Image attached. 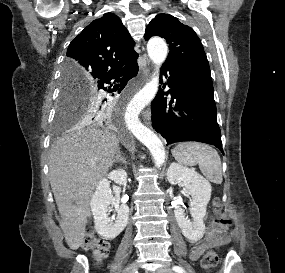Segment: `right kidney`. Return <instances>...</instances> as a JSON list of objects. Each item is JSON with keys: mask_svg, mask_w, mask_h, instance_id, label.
<instances>
[{"mask_svg": "<svg viewBox=\"0 0 285 273\" xmlns=\"http://www.w3.org/2000/svg\"><path fill=\"white\" fill-rule=\"evenodd\" d=\"M108 179L116 184L124 185L127 174L123 170H114L108 174L107 178H103L96 186L90 201V207L94 217L95 230L101 237L112 240L127 226L129 207L126 204L120 205L113 197ZM110 211L117 212L116 219L114 216L109 217Z\"/></svg>", "mask_w": 285, "mask_h": 273, "instance_id": "obj_1", "label": "right kidney"}]
</instances>
